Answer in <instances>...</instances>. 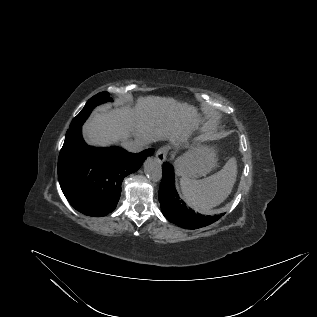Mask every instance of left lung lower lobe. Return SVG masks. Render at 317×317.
<instances>
[{
  "label": "left lung lower lobe",
  "instance_id": "1",
  "mask_svg": "<svg viewBox=\"0 0 317 317\" xmlns=\"http://www.w3.org/2000/svg\"><path fill=\"white\" fill-rule=\"evenodd\" d=\"M159 201L163 215L172 223L186 228L197 229L217 221L219 216H205L189 209L179 198L174 185L173 167L165 162L163 164V178L159 189Z\"/></svg>",
  "mask_w": 317,
  "mask_h": 317
}]
</instances>
